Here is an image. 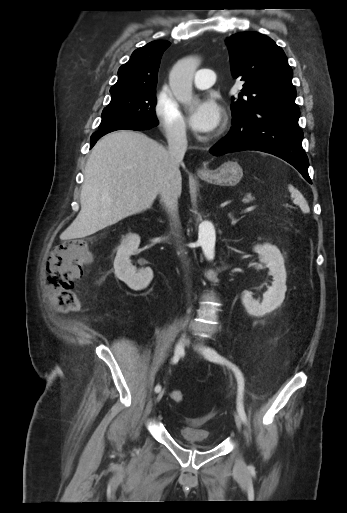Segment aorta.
<instances>
[{
    "mask_svg": "<svg viewBox=\"0 0 347 513\" xmlns=\"http://www.w3.org/2000/svg\"><path fill=\"white\" fill-rule=\"evenodd\" d=\"M199 63L200 59L197 57H185L173 66L169 75V84L175 98L186 106L191 105L194 101L192 81ZM199 241L205 257L212 260L215 255L216 242L212 223L205 221L199 226Z\"/></svg>",
    "mask_w": 347,
    "mask_h": 513,
    "instance_id": "762f6f07",
    "label": "aorta"
}]
</instances>
